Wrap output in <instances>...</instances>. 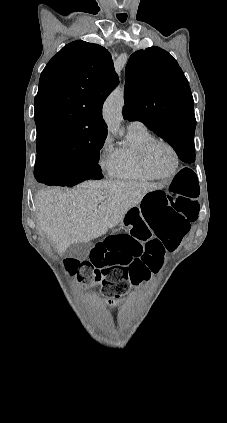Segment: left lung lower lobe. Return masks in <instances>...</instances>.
<instances>
[{
  "mask_svg": "<svg viewBox=\"0 0 227 423\" xmlns=\"http://www.w3.org/2000/svg\"><path fill=\"white\" fill-rule=\"evenodd\" d=\"M179 158L186 163H193L195 161V147L194 140L179 139L171 145Z\"/></svg>",
  "mask_w": 227,
  "mask_h": 423,
  "instance_id": "1",
  "label": "left lung lower lobe"
}]
</instances>
